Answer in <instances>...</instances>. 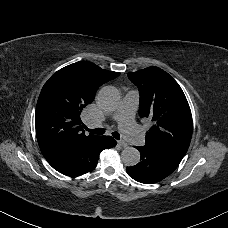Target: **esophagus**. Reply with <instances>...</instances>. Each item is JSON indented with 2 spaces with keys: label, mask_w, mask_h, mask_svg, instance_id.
<instances>
[{
  "label": "esophagus",
  "mask_w": 228,
  "mask_h": 228,
  "mask_svg": "<svg viewBox=\"0 0 228 228\" xmlns=\"http://www.w3.org/2000/svg\"><path fill=\"white\" fill-rule=\"evenodd\" d=\"M117 144H118L119 146H121V147H126V146H127V143L124 142V141H122V140L118 141Z\"/></svg>",
  "instance_id": "esophagus-1"
}]
</instances>
